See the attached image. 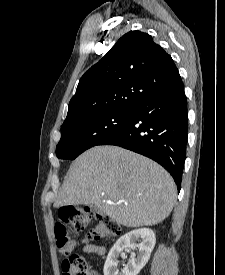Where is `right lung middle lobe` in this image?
<instances>
[{
    "label": "right lung middle lobe",
    "instance_id": "right-lung-middle-lobe-1",
    "mask_svg": "<svg viewBox=\"0 0 225 275\" xmlns=\"http://www.w3.org/2000/svg\"><path fill=\"white\" fill-rule=\"evenodd\" d=\"M131 116V110L109 111L79 118L61 127L57 157L75 159L85 150L99 145L119 130Z\"/></svg>",
    "mask_w": 225,
    "mask_h": 275
}]
</instances>
